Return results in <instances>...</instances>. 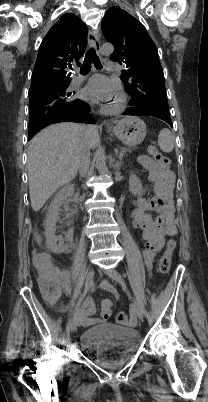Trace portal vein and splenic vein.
<instances>
[{"instance_id":"portal-vein-and-splenic-vein-1","label":"portal vein and splenic vein","mask_w":208,"mask_h":402,"mask_svg":"<svg viewBox=\"0 0 208 402\" xmlns=\"http://www.w3.org/2000/svg\"><path fill=\"white\" fill-rule=\"evenodd\" d=\"M115 154L118 155L119 157H122V156H123V153L120 152L119 150H116V151H115Z\"/></svg>"}]
</instances>
